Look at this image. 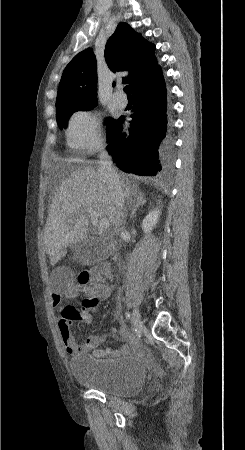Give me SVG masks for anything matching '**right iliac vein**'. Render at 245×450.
I'll return each mask as SVG.
<instances>
[{"instance_id": "right-iliac-vein-1", "label": "right iliac vein", "mask_w": 245, "mask_h": 450, "mask_svg": "<svg viewBox=\"0 0 245 450\" xmlns=\"http://www.w3.org/2000/svg\"><path fill=\"white\" fill-rule=\"evenodd\" d=\"M132 325L134 328H138L141 325V317L137 307L132 312Z\"/></svg>"}]
</instances>
